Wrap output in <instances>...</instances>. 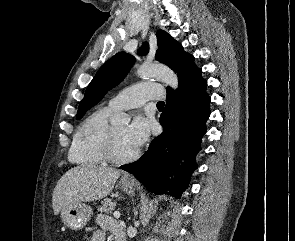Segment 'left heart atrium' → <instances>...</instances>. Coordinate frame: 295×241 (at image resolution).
I'll list each match as a JSON object with an SVG mask.
<instances>
[{"instance_id": "left-heart-atrium-1", "label": "left heart atrium", "mask_w": 295, "mask_h": 241, "mask_svg": "<svg viewBox=\"0 0 295 241\" xmlns=\"http://www.w3.org/2000/svg\"><path fill=\"white\" fill-rule=\"evenodd\" d=\"M150 134V123L142 117H136L126 129V139L135 148L141 147Z\"/></svg>"}]
</instances>
